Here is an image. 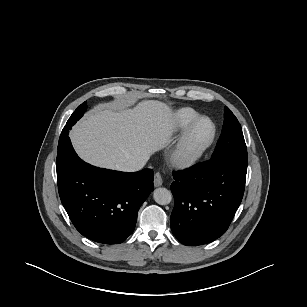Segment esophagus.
Segmentation results:
<instances>
[{
  "instance_id": "esophagus-1",
  "label": "esophagus",
  "mask_w": 307,
  "mask_h": 307,
  "mask_svg": "<svg viewBox=\"0 0 307 307\" xmlns=\"http://www.w3.org/2000/svg\"><path fill=\"white\" fill-rule=\"evenodd\" d=\"M162 177H161V174L159 172L155 173L154 175V186L155 187H159L162 185Z\"/></svg>"
}]
</instances>
